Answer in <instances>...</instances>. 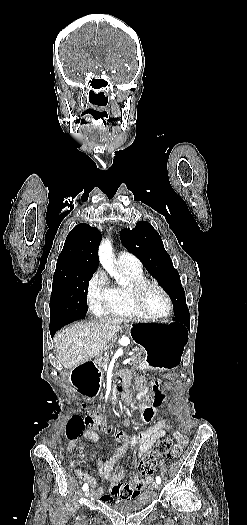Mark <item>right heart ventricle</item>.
<instances>
[{
    "mask_svg": "<svg viewBox=\"0 0 247 525\" xmlns=\"http://www.w3.org/2000/svg\"><path fill=\"white\" fill-rule=\"evenodd\" d=\"M119 266L123 272V280L119 281L112 289L117 298L105 310L101 317H148L134 304L129 284L145 278L139 260L129 255V260L118 258Z\"/></svg>",
    "mask_w": 247,
    "mask_h": 525,
    "instance_id": "1",
    "label": "right heart ventricle"
}]
</instances>
